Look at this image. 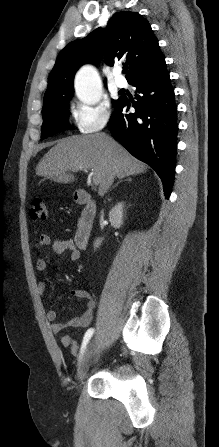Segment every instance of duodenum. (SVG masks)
<instances>
[{
    "instance_id": "duodenum-1",
    "label": "duodenum",
    "mask_w": 219,
    "mask_h": 447,
    "mask_svg": "<svg viewBox=\"0 0 219 447\" xmlns=\"http://www.w3.org/2000/svg\"><path fill=\"white\" fill-rule=\"evenodd\" d=\"M76 201L83 206V210L78 220L74 240L79 248H85L92 234L97 206L92 197L84 190L77 193Z\"/></svg>"
}]
</instances>
